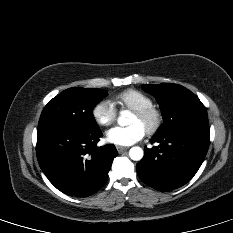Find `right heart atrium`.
Returning <instances> with one entry per match:
<instances>
[{
    "instance_id": "1",
    "label": "right heart atrium",
    "mask_w": 233,
    "mask_h": 233,
    "mask_svg": "<svg viewBox=\"0 0 233 233\" xmlns=\"http://www.w3.org/2000/svg\"><path fill=\"white\" fill-rule=\"evenodd\" d=\"M92 116L98 125L109 126L115 122L117 110L110 100L103 99L94 105Z\"/></svg>"
}]
</instances>
